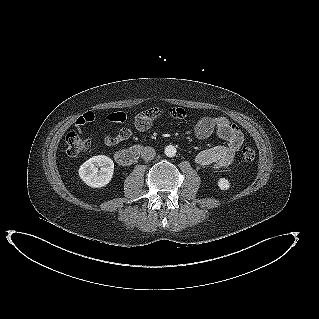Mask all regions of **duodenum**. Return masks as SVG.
I'll use <instances>...</instances> for the list:
<instances>
[{"instance_id": "1", "label": "duodenum", "mask_w": 319, "mask_h": 319, "mask_svg": "<svg viewBox=\"0 0 319 319\" xmlns=\"http://www.w3.org/2000/svg\"><path fill=\"white\" fill-rule=\"evenodd\" d=\"M141 151L142 147L135 145L128 149L118 151L115 154V159L120 165L128 166L139 158Z\"/></svg>"}]
</instances>
